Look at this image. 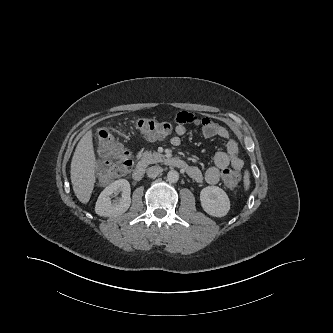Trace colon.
I'll return each instance as SVG.
<instances>
[{"instance_id":"5ec220e1","label":"colon","mask_w":333,"mask_h":333,"mask_svg":"<svg viewBox=\"0 0 333 333\" xmlns=\"http://www.w3.org/2000/svg\"><path fill=\"white\" fill-rule=\"evenodd\" d=\"M136 128L144 137L159 140L168 136L172 125L153 119L141 118L136 122ZM98 151L102 157L107 159L98 167V175L102 181H110L126 174L133 165V160L128 152L119 142L115 140L112 129L103 127L98 131ZM225 185L233 188L237 185L239 176L232 169L223 172Z\"/></svg>"}]
</instances>
